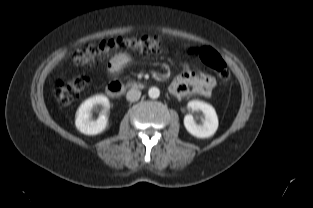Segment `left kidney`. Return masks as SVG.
I'll use <instances>...</instances> for the list:
<instances>
[{"label": "left kidney", "mask_w": 313, "mask_h": 208, "mask_svg": "<svg viewBox=\"0 0 313 208\" xmlns=\"http://www.w3.org/2000/svg\"><path fill=\"white\" fill-rule=\"evenodd\" d=\"M188 110L202 112L204 120L202 124H196L191 114L184 117V126L186 130L197 138H208L212 136L218 128V117L215 109L202 101L192 100L187 105Z\"/></svg>", "instance_id": "1"}]
</instances>
